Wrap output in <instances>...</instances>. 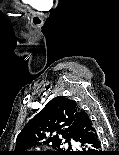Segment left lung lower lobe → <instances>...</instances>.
<instances>
[{
  "label": "left lung lower lobe",
  "mask_w": 119,
  "mask_h": 155,
  "mask_svg": "<svg viewBox=\"0 0 119 155\" xmlns=\"http://www.w3.org/2000/svg\"><path fill=\"white\" fill-rule=\"evenodd\" d=\"M73 139L83 150L75 155H104L97 130L88 114L83 110L79 112Z\"/></svg>",
  "instance_id": "left-lung-lower-lobe-1"
}]
</instances>
